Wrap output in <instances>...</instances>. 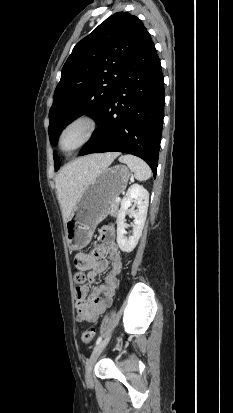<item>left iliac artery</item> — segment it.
<instances>
[{"label": "left iliac artery", "instance_id": "44dca946", "mask_svg": "<svg viewBox=\"0 0 233 413\" xmlns=\"http://www.w3.org/2000/svg\"><path fill=\"white\" fill-rule=\"evenodd\" d=\"M101 341H102V337L100 336V337L96 340V345H98Z\"/></svg>", "mask_w": 233, "mask_h": 413}]
</instances>
